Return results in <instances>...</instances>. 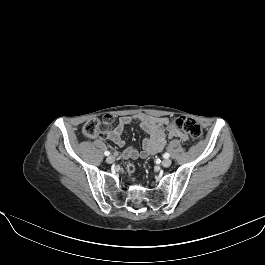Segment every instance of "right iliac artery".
Wrapping results in <instances>:
<instances>
[{
	"instance_id": "82829eb1",
	"label": "right iliac artery",
	"mask_w": 265,
	"mask_h": 265,
	"mask_svg": "<svg viewBox=\"0 0 265 265\" xmlns=\"http://www.w3.org/2000/svg\"><path fill=\"white\" fill-rule=\"evenodd\" d=\"M104 154H105V156H109L110 152L109 151H105Z\"/></svg>"
}]
</instances>
